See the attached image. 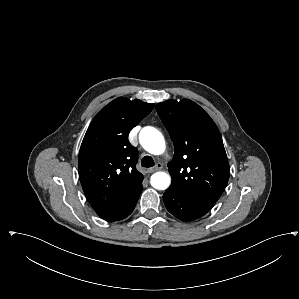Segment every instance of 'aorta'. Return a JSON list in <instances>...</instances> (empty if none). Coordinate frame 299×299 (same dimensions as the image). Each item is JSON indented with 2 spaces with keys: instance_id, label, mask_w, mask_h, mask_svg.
<instances>
[{
  "instance_id": "762f6f07",
  "label": "aorta",
  "mask_w": 299,
  "mask_h": 299,
  "mask_svg": "<svg viewBox=\"0 0 299 299\" xmlns=\"http://www.w3.org/2000/svg\"><path fill=\"white\" fill-rule=\"evenodd\" d=\"M142 147L149 153L159 155L165 150V140L162 134L154 127H144L139 133ZM152 187L165 190L170 186L171 177L165 172H156L151 176Z\"/></svg>"
}]
</instances>
